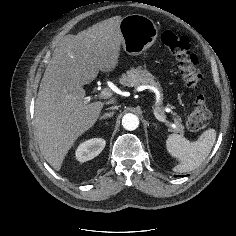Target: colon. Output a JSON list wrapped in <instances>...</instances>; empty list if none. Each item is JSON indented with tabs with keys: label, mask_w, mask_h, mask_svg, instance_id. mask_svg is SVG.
Returning a JSON list of instances; mask_svg holds the SVG:
<instances>
[{
	"label": "colon",
	"mask_w": 236,
	"mask_h": 236,
	"mask_svg": "<svg viewBox=\"0 0 236 236\" xmlns=\"http://www.w3.org/2000/svg\"><path fill=\"white\" fill-rule=\"evenodd\" d=\"M161 40L175 57L185 84L195 92V106L187 120V127L191 131L202 130L208 124L211 112L210 100L201 89L202 75L197 68L198 58L185 37L165 31Z\"/></svg>",
	"instance_id": "1"
}]
</instances>
